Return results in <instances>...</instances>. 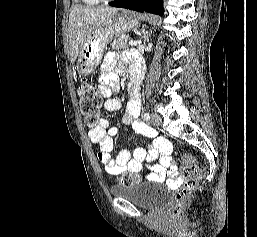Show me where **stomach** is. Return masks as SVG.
Here are the masks:
<instances>
[{
  "label": "stomach",
  "instance_id": "0dacf381",
  "mask_svg": "<svg viewBox=\"0 0 257 237\" xmlns=\"http://www.w3.org/2000/svg\"><path fill=\"white\" fill-rule=\"evenodd\" d=\"M138 25L134 13H115L107 22L95 28L81 46L77 71L80 76L92 73L101 62L107 45L115 38L127 34Z\"/></svg>",
  "mask_w": 257,
  "mask_h": 237
}]
</instances>
